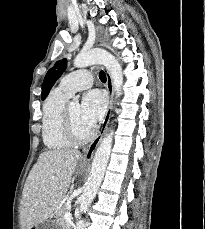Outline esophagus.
I'll list each match as a JSON object with an SVG mask.
<instances>
[{"instance_id":"obj_1","label":"esophagus","mask_w":205,"mask_h":229,"mask_svg":"<svg viewBox=\"0 0 205 229\" xmlns=\"http://www.w3.org/2000/svg\"><path fill=\"white\" fill-rule=\"evenodd\" d=\"M106 76H107V90L109 93V97H110V101H109V106H108V110L106 113V116L104 118L103 124H102V128L98 134V136L84 149V158L85 159H91L94 151L96 149V147L98 146V144L100 143L106 128L108 126L109 120H110V116H111V110H112V104H113V81H112V77L110 75V73L108 72V70H106Z\"/></svg>"}]
</instances>
